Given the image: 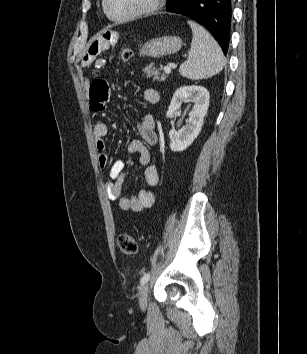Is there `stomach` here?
I'll return each mask as SVG.
<instances>
[{"label":"stomach","instance_id":"1","mask_svg":"<svg viewBox=\"0 0 307 354\" xmlns=\"http://www.w3.org/2000/svg\"><path fill=\"white\" fill-rule=\"evenodd\" d=\"M182 47V40L178 36H162L147 41L140 48V55L161 58L178 52Z\"/></svg>","mask_w":307,"mask_h":354}]
</instances>
